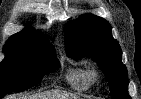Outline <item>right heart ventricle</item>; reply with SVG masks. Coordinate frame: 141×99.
Instances as JSON below:
<instances>
[{"instance_id":"1","label":"right heart ventricle","mask_w":141,"mask_h":99,"mask_svg":"<svg viewBox=\"0 0 141 99\" xmlns=\"http://www.w3.org/2000/svg\"><path fill=\"white\" fill-rule=\"evenodd\" d=\"M68 84L76 90H85L92 83L89 70L85 67H71L65 75Z\"/></svg>"}]
</instances>
